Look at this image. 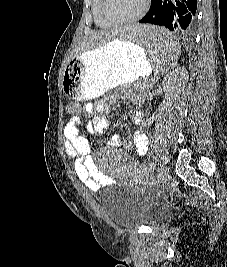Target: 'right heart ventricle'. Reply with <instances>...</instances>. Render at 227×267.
I'll return each instance as SVG.
<instances>
[{"label": "right heart ventricle", "instance_id": "e07e8e85", "mask_svg": "<svg viewBox=\"0 0 227 267\" xmlns=\"http://www.w3.org/2000/svg\"><path fill=\"white\" fill-rule=\"evenodd\" d=\"M101 0H93L92 1V14L94 17V21L99 26H109L111 25L106 19L103 18L100 10Z\"/></svg>", "mask_w": 227, "mask_h": 267}]
</instances>
